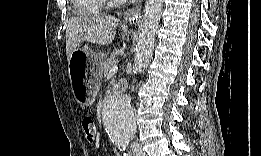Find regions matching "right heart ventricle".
Here are the masks:
<instances>
[{"label":"right heart ventricle","instance_id":"obj_1","mask_svg":"<svg viewBox=\"0 0 261 156\" xmlns=\"http://www.w3.org/2000/svg\"><path fill=\"white\" fill-rule=\"evenodd\" d=\"M75 5L85 11H94L100 7V1L97 0H76Z\"/></svg>","mask_w":261,"mask_h":156}]
</instances>
